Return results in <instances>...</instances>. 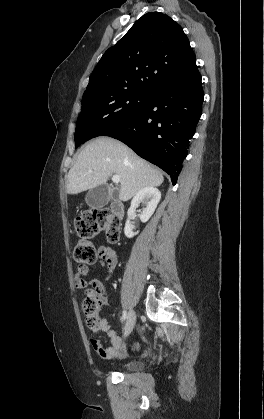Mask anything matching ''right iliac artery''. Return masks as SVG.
Returning <instances> with one entry per match:
<instances>
[{
    "label": "right iliac artery",
    "mask_w": 264,
    "mask_h": 419,
    "mask_svg": "<svg viewBox=\"0 0 264 419\" xmlns=\"http://www.w3.org/2000/svg\"><path fill=\"white\" fill-rule=\"evenodd\" d=\"M126 318H127V312L126 311H123V313H122V319L125 320Z\"/></svg>",
    "instance_id": "1"
}]
</instances>
